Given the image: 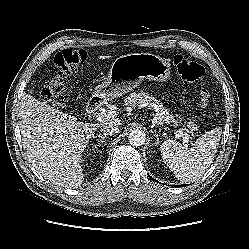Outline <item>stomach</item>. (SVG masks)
I'll return each mask as SVG.
<instances>
[{"mask_svg":"<svg viewBox=\"0 0 249 249\" xmlns=\"http://www.w3.org/2000/svg\"><path fill=\"white\" fill-rule=\"evenodd\" d=\"M171 68L167 59L151 53H133L116 58L108 77L96 87L95 96L103 100L122 96L135 89L143 79L165 82Z\"/></svg>","mask_w":249,"mask_h":249,"instance_id":"1","label":"stomach"}]
</instances>
